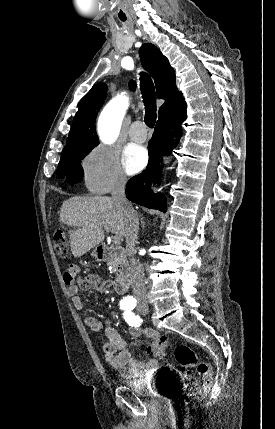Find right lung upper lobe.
I'll list each match as a JSON object with an SVG mask.
<instances>
[{
  "instance_id": "1",
  "label": "right lung upper lobe",
  "mask_w": 275,
  "mask_h": 429,
  "mask_svg": "<svg viewBox=\"0 0 275 429\" xmlns=\"http://www.w3.org/2000/svg\"><path fill=\"white\" fill-rule=\"evenodd\" d=\"M140 57L144 67L154 78L158 98L165 100L159 109L158 121L167 119L186 106L183 95L175 84V72L168 59L151 43L144 44L140 48ZM129 85L132 90H135L133 81H130ZM106 92L107 85L99 83L82 98L61 157L90 152L98 145L95 118L104 103Z\"/></svg>"
}]
</instances>
